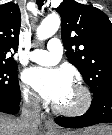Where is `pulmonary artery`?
Wrapping results in <instances>:
<instances>
[{
    "mask_svg": "<svg viewBox=\"0 0 112 135\" xmlns=\"http://www.w3.org/2000/svg\"><path fill=\"white\" fill-rule=\"evenodd\" d=\"M63 46L59 39L52 38L46 49H36L29 55L30 59L40 65L51 66L57 64L62 56Z\"/></svg>",
    "mask_w": 112,
    "mask_h": 135,
    "instance_id": "e3ab8cb5",
    "label": "pulmonary artery"
}]
</instances>
